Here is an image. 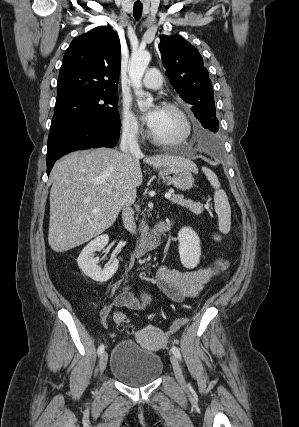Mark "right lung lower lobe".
I'll return each instance as SVG.
<instances>
[{"mask_svg":"<svg viewBox=\"0 0 299 427\" xmlns=\"http://www.w3.org/2000/svg\"><path fill=\"white\" fill-rule=\"evenodd\" d=\"M120 128L107 124L75 121L50 130L47 150V174L56 160L81 149L114 147L120 137Z\"/></svg>","mask_w":299,"mask_h":427,"instance_id":"right-lung-lower-lobe-1","label":"right lung lower lobe"}]
</instances>
